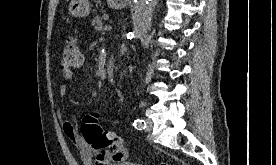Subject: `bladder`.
Wrapping results in <instances>:
<instances>
[{"label": "bladder", "instance_id": "1", "mask_svg": "<svg viewBox=\"0 0 276 165\" xmlns=\"http://www.w3.org/2000/svg\"><path fill=\"white\" fill-rule=\"evenodd\" d=\"M113 165H141V164H136V163H131V162H122V163H117Z\"/></svg>", "mask_w": 276, "mask_h": 165}]
</instances>
